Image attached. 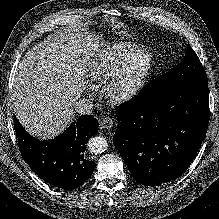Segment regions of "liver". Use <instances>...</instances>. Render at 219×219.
I'll use <instances>...</instances> for the list:
<instances>
[{
	"instance_id": "6515ba94",
	"label": "liver",
	"mask_w": 219,
	"mask_h": 219,
	"mask_svg": "<svg viewBox=\"0 0 219 219\" xmlns=\"http://www.w3.org/2000/svg\"><path fill=\"white\" fill-rule=\"evenodd\" d=\"M99 37L66 29L29 50L15 71L16 117L33 136L54 138L74 120L73 106L85 84L86 64L99 50Z\"/></svg>"
}]
</instances>
